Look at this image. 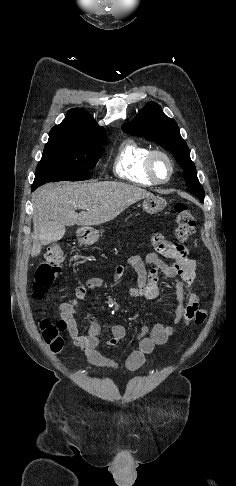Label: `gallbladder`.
Wrapping results in <instances>:
<instances>
[{
  "label": "gallbladder",
  "instance_id": "1",
  "mask_svg": "<svg viewBox=\"0 0 236 486\" xmlns=\"http://www.w3.org/2000/svg\"><path fill=\"white\" fill-rule=\"evenodd\" d=\"M65 233V226L59 222L50 221L45 228L46 244L60 240Z\"/></svg>",
  "mask_w": 236,
  "mask_h": 486
}]
</instances>
